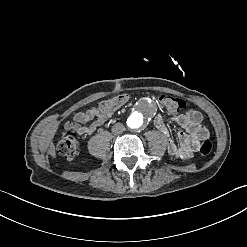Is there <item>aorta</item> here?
Listing matches in <instances>:
<instances>
[{
  "mask_svg": "<svg viewBox=\"0 0 247 247\" xmlns=\"http://www.w3.org/2000/svg\"><path fill=\"white\" fill-rule=\"evenodd\" d=\"M143 123V116L139 113H134L128 119V125L130 128L136 129L139 128Z\"/></svg>",
  "mask_w": 247,
  "mask_h": 247,
  "instance_id": "1",
  "label": "aorta"
}]
</instances>
